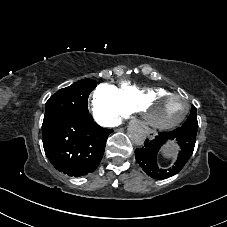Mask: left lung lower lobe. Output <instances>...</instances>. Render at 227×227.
Masks as SVG:
<instances>
[{"mask_svg":"<svg viewBox=\"0 0 227 227\" xmlns=\"http://www.w3.org/2000/svg\"><path fill=\"white\" fill-rule=\"evenodd\" d=\"M196 134L197 132L181 128L172 132H162L151 141L147 139L142 148L135 150L136 161L143 171L154 179H166L174 176L190 159L196 142ZM168 140H176L181 151L172 167L161 168L157 164V154L161 146Z\"/></svg>","mask_w":227,"mask_h":227,"instance_id":"0a47b994","label":"left lung lower lobe"}]
</instances>
